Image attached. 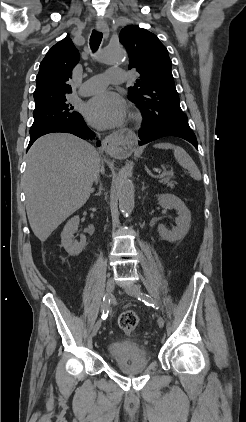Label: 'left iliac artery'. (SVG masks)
<instances>
[{"label": "left iliac artery", "mask_w": 246, "mask_h": 422, "mask_svg": "<svg viewBox=\"0 0 246 422\" xmlns=\"http://www.w3.org/2000/svg\"><path fill=\"white\" fill-rule=\"evenodd\" d=\"M137 297L139 300H142L146 305L152 306L156 310L159 309L157 302L152 299L148 294L140 293Z\"/></svg>", "instance_id": "left-iliac-artery-1"}]
</instances>
